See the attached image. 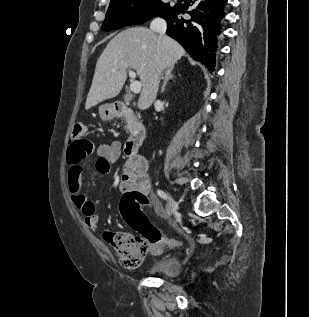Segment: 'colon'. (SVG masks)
I'll use <instances>...</instances> for the list:
<instances>
[{
    "instance_id": "obj_1",
    "label": "colon",
    "mask_w": 309,
    "mask_h": 317,
    "mask_svg": "<svg viewBox=\"0 0 309 317\" xmlns=\"http://www.w3.org/2000/svg\"><path fill=\"white\" fill-rule=\"evenodd\" d=\"M87 125L78 122L72 131V141L69 146L67 161H76L81 155L77 148L85 139ZM92 150V144H88V151ZM150 204L149 199L139 192L124 193L120 203V210L124 220L136 232H114L107 235V239L117 254L121 265L128 269L139 267L145 259L150 247H174L181 241L168 238L162 234L147 218L141 210L144 205Z\"/></svg>"
}]
</instances>
